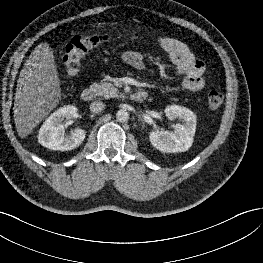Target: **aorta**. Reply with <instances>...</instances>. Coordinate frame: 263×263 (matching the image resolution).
I'll return each instance as SVG.
<instances>
[{"label": "aorta", "instance_id": "aorta-1", "mask_svg": "<svg viewBox=\"0 0 263 263\" xmlns=\"http://www.w3.org/2000/svg\"><path fill=\"white\" fill-rule=\"evenodd\" d=\"M116 119L118 122H121V123L127 122L129 119V113L126 110L120 109L116 113Z\"/></svg>", "mask_w": 263, "mask_h": 263}]
</instances>
